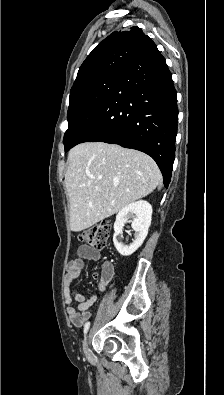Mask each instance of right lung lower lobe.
<instances>
[{"instance_id":"98d812e1","label":"right lung lower lobe","mask_w":224,"mask_h":395,"mask_svg":"<svg viewBox=\"0 0 224 395\" xmlns=\"http://www.w3.org/2000/svg\"><path fill=\"white\" fill-rule=\"evenodd\" d=\"M177 119L171 72L147 37L74 146L100 141L142 151L156 161L167 188L175 158Z\"/></svg>"}]
</instances>
